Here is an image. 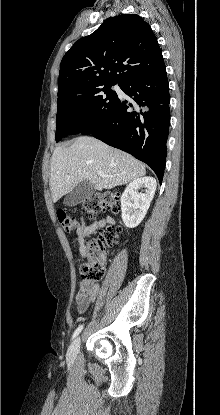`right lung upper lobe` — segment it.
<instances>
[{"label": "right lung upper lobe", "mask_w": 220, "mask_h": 415, "mask_svg": "<svg viewBox=\"0 0 220 415\" xmlns=\"http://www.w3.org/2000/svg\"><path fill=\"white\" fill-rule=\"evenodd\" d=\"M164 63L151 27L139 15L106 19L76 41L60 64L58 94L80 84L123 81Z\"/></svg>", "instance_id": "cb5924a9"}]
</instances>
